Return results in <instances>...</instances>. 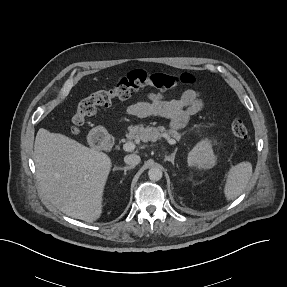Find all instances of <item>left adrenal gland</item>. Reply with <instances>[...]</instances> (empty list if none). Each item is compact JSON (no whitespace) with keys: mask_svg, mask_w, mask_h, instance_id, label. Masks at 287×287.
Segmentation results:
<instances>
[{"mask_svg":"<svg viewBox=\"0 0 287 287\" xmlns=\"http://www.w3.org/2000/svg\"><path fill=\"white\" fill-rule=\"evenodd\" d=\"M176 152H177V149H175L174 152L171 155H169V156L165 155L164 160L165 161H169L172 164H174V159H175Z\"/></svg>","mask_w":287,"mask_h":287,"instance_id":"a2214340","label":"left adrenal gland"}]
</instances>
